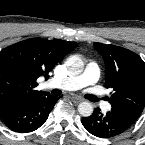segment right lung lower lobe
Wrapping results in <instances>:
<instances>
[{"mask_svg": "<svg viewBox=\"0 0 145 145\" xmlns=\"http://www.w3.org/2000/svg\"><path fill=\"white\" fill-rule=\"evenodd\" d=\"M59 97L50 94L0 109V119L11 130L27 133L38 129L48 118Z\"/></svg>", "mask_w": 145, "mask_h": 145, "instance_id": "98d812e1", "label": "right lung lower lobe"}]
</instances>
